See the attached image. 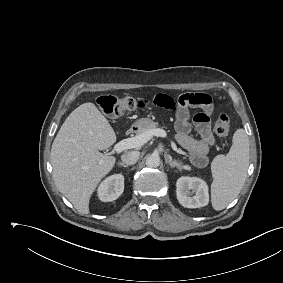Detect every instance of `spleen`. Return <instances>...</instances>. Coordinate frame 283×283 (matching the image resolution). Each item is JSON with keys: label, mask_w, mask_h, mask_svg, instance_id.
Returning <instances> with one entry per match:
<instances>
[{"label": "spleen", "mask_w": 283, "mask_h": 283, "mask_svg": "<svg viewBox=\"0 0 283 283\" xmlns=\"http://www.w3.org/2000/svg\"><path fill=\"white\" fill-rule=\"evenodd\" d=\"M248 166L249 139L244 129H238L228 154L217 155L211 164V203L215 210L224 209L237 197L246 180Z\"/></svg>", "instance_id": "3e777b00"}]
</instances>
